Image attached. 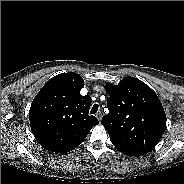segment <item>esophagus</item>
Here are the masks:
<instances>
[{
	"mask_svg": "<svg viewBox=\"0 0 184 184\" xmlns=\"http://www.w3.org/2000/svg\"><path fill=\"white\" fill-rule=\"evenodd\" d=\"M96 117L98 118L99 121H101V119H102V111H99V112L96 114Z\"/></svg>",
	"mask_w": 184,
	"mask_h": 184,
	"instance_id": "34e87169",
	"label": "esophagus"
}]
</instances>
